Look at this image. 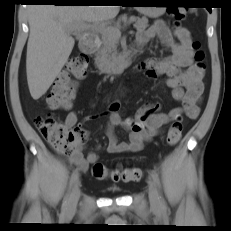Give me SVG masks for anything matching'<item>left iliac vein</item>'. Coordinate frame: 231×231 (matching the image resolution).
Segmentation results:
<instances>
[{
  "label": "left iliac vein",
  "instance_id": "1",
  "mask_svg": "<svg viewBox=\"0 0 231 231\" xmlns=\"http://www.w3.org/2000/svg\"><path fill=\"white\" fill-rule=\"evenodd\" d=\"M148 187H149V201L151 206L153 208H159L160 201H159L158 193L155 184L151 179H148Z\"/></svg>",
  "mask_w": 231,
  "mask_h": 231
}]
</instances>
